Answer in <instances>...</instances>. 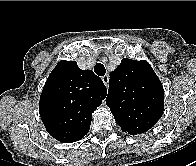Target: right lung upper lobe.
Returning a JSON list of instances; mask_svg holds the SVG:
<instances>
[{"instance_id":"right-lung-upper-lobe-1","label":"right lung upper lobe","mask_w":196,"mask_h":166,"mask_svg":"<svg viewBox=\"0 0 196 166\" xmlns=\"http://www.w3.org/2000/svg\"><path fill=\"white\" fill-rule=\"evenodd\" d=\"M106 95L101 78L92 71L81 70L75 61H60L42 90L39 114L52 137L75 142L88 133L92 113Z\"/></svg>"}]
</instances>
